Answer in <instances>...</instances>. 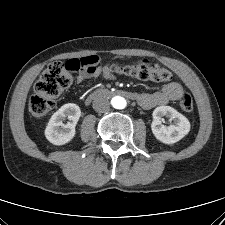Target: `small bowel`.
<instances>
[{
    "label": "small bowel",
    "instance_id": "obj_1",
    "mask_svg": "<svg viewBox=\"0 0 225 225\" xmlns=\"http://www.w3.org/2000/svg\"><path fill=\"white\" fill-rule=\"evenodd\" d=\"M91 77L113 79L114 75L107 66H96L90 71H80L76 79L79 83H82ZM182 92V86L178 82L170 81L164 84L157 92L139 93L137 101L141 107L150 109L155 106L167 104L170 101L178 100Z\"/></svg>",
    "mask_w": 225,
    "mask_h": 225
}]
</instances>
